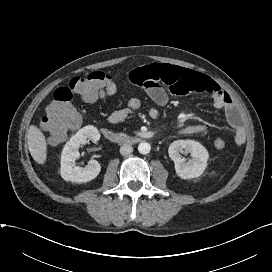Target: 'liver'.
<instances>
[{"instance_id": "liver-1", "label": "liver", "mask_w": 272, "mask_h": 272, "mask_svg": "<svg viewBox=\"0 0 272 272\" xmlns=\"http://www.w3.org/2000/svg\"><path fill=\"white\" fill-rule=\"evenodd\" d=\"M27 143L31 156L38 164H44L47 159V142L42 131L31 125L27 133Z\"/></svg>"}]
</instances>
